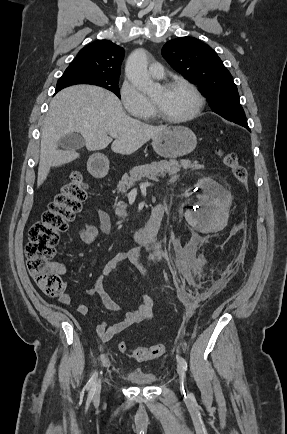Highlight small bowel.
Here are the masks:
<instances>
[{"label":"small bowel","instance_id":"c3829d8e","mask_svg":"<svg viewBox=\"0 0 287 434\" xmlns=\"http://www.w3.org/2000/svg\"><path fill=\"white\" fill-rule=\"evenodd\" d=\"M174 179L175 177L173 180ZM97 215L100 220V226L104 236H108L111 231V220L109 214L105 210L99 208L97 209ZM79 235L82 241L90 246L95 245L99 239L97 229L90 223H86L80 229ZM125 262H129L140 268L143 272H146V269L141 261V248L137 247L129 251L118 252L107 261L102 268L101 273L97 277L94 287L88 290L89 295H98L101 298L104 306L111 311H118L120 306L107 292L105 283ZM90 264H92V260ZM54 269L59 273H64L66 270L65 266L61 263L55 264ZM71 301L72 298L69 293H64L59 298V302L63 305H69ZM155 301L156 298L153 295H141L139 306L135 310L126 313L124 318L120 321L114 324H108L105 321L99 322L96 326L97 335L102 342H108L133 324L149 320L152 317ZM75 310L79 315L82 316H85L88 313L87 305L82 302H79L76 305Z\"/></svg>","mask_w":287,"mask_h":434}]
</instances>
